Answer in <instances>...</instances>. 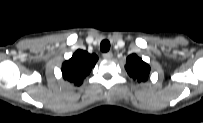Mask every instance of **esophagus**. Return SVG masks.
I'll list each match as a JSON object with an SVG mask.
<instances>
[{"label": "esophagus", "mask_w": 203, "mask_h": 123, "mask_svg": "<svg viewBox=\"0 0 203 123\" xmlns=\"http://www.w3.org/2000/svg\"><path fill=\"white\" fill-rule=\"evenodd\" d=\"M113 57V54L111 52H106L103 54L104 59H111Z\"/></svg>", "instance_id": "1"}]
</instances>
